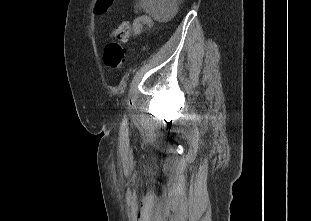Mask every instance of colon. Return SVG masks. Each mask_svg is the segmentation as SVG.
I'll use <instances>...</instances> for the list:
<instances>
[{"mask_svg": "<svg viewBox=\"0 0 311 221\" xmlns=\"http://www.w3.org/2000/svg\"><path fill=\"white\" fill-rule=\"evenodd\" d=\"M94 7L98 17H103L105 9L110 8L108 0H97ZM131 29L130 23H122L116 30L118 36H125L127 41ZM125 59V51L118 42H111L106 46L104 51V61L107 67L111 70L118 71L122 68Z\"/></svg>", "mask_w": 311, "mask_h": 221, "instance_id": "5ec220e1", "label": "colon"}]
</instances>
